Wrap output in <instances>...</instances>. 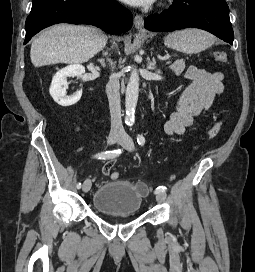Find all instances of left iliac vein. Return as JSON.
I'll list each match as a JSON object with an SVG mask.
<instances>
[{
	"label": "left iliac vein",
	"mask_w": 255,
	"mask_h": 272,
	"mask_svg": "<svg viewBox=\"0 0 255 272\" xmlns=\"http://www.w3.org/2000/svg\"><path fill=\"white\" fill-rule=\"evenodd\" d=\"M122 139L120 141V144L127 149L128 151H132L134 149V143L132 138L128 134H124L121 136ZM166 199V193L165 192H158L156 193V200L159 203L164 202Z\"/></svg>",
	"instance_id": "obj_1"
}]
</instances>
